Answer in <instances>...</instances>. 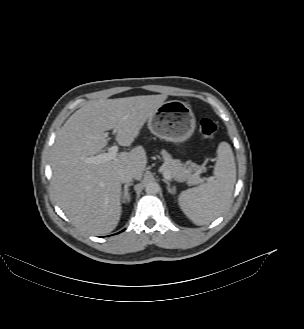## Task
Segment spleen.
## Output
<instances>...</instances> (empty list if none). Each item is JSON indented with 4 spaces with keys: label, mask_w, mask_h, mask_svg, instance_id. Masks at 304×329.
Here are the masks:
<instances>
[{
    "label": "spleen",
    "mask_w": 304,
    "mask_h": 329,
    "mask_svg": "<svg viewBox=\"0 0 304 329\" xmlns=\"http://www.w3.org/2000/svg\"><path fill=\"white\" fill-rule=\"evenodd\" d=\"M214 176L199 187L182 191L178 204L196 225H205L219 217L231 202L236 182V164L232 148L221 142L217 149Z\"/></svg>",
    "instance_id": "3e777b00"
}]
</instances>
